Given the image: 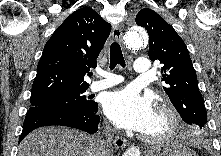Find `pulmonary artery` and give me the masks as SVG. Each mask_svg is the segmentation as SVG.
I'll list each match as a JSON object with an SVG mask.
<instances>
[{
	"label": "pulmonary artery",
	"instance_id": "pulmonary-artery-1",
	"mask_svg": "<svg viewBox=\"0 0 221 156\" xmlns=\"http://www.w3.org/2000/svg\"><path fill=\"white\" fill-rule=\"evenodd\" d=\"M149 69H150L149 61L146 58L140 57L135 60L134 71L137 74L141 75L147 74L149 72ZM100 75L103 77V79L95 81L89 86V90L91 92H97L112 87L123 81V78L121 76L110 72L101 71Z\"/></svg>",
	"mask_w": 221,
	"mask_h": 156
}]
</instances>
